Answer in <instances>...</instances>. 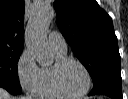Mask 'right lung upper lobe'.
<instances>
[{"label":"right lung upper lobe","instance_id":"1","mask_svg":"<svg viewBox=\"0 0 128 99\" xmlns=\"http://www.w3.org/2000/svg\"><path fill=\"white\" fill-rule=\"evenodd\" d=\"M24 0H0V47L23 49Z\"/></svg>","mask_w":128,"mask_h":99}]
</instances>
